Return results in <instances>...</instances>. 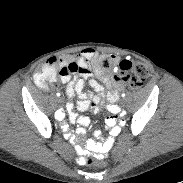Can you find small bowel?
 I'll list each match as a JSON object with an SVG mask.
<instances>
[{"mask_svg":"<svg viewBox=\"0 0 183 183\" xmlns=\"http://www.w3.org/2000/svg\"><path fill=\"white\" fill-rule=\"evenodd\" d=\"M52 67L58 68L61 74V81L65 84V91L69 97L78 95L76 109L85 111L91 109L98 112L105 109L112 114L119 112L118 106L115 104L119 92L123 89V84L115 81L114 78L104 74L98 66V53L92 48H86L76 55H64L59 57L49 58L41 68ZM93 73L100 78L103 83L109 88L106 92L105 87L94 76ZM96 93H87L83 90L85 81ZM55 81V80H54ZM75 105L69 102L66 105V110L69 114L71 123H78L74 130L70 129V124L64 121L65 114L62 111H57L54 114V119L60 122L59 129L64 132V137L67 140H72L73 148L77 151V162L80 165H85L88 162V151L92 150V157L95 160H104L107 157V149L113 150L117 146V141L113 137H108L101 142L103 134L99 130H94L90 134V141L87 142L86 149L81 140L74 139L75 133L78 136H83L86 133V128L90 124V120L86 117H78L74 112ZM106 125L110 128L113 135H118L121 128L126 127L127 120L118 115L109 116L106 119Z\"/></svg>","mask_w":183,"mask_h":183,"instance_id":"1","label":"small bowel"}]
</instances>
